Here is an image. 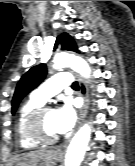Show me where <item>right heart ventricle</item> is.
<instances>
[{
  "label": "right heart ventricle",
  "instance_id": "e07e8e85",
  "mask_svg": "<svg viewBox=\"0 0 135 166\" xmlns=\"http://www.w3.org/2000/svg\"><path fill=\"white\" fill-rule=\"evenodd\" d=\"M44 102L36 99L31 96L26 100L19 108L16 122H15V135L19 145L23 149H34L37 148L40 144L32 139H30L24 131V121L29 112L43 105Z\"/></svg>",
  "mask_w": 135,
  "mask_h": 166
}]
</instances>
